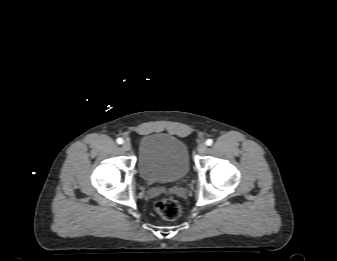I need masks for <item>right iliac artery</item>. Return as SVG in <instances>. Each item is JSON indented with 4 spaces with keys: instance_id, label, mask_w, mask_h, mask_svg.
Returning a JSON list of instances; mask_svg holds the SVG:
<instances>
[{
    "instance_id": "right-iliac-artery-1",
    "label": "right iliac artery",
    "mask_w": 337,
    "mask_h": 261,
    "mask_svg": "<svg viewBox=\"0 0 337 261\" xmlns=\"http://www.w3.org/2000/svg\"><path fill=\"white\" fill-rule=\"evenodd\" d=\"M116 141H117L118 144H122L123 143V139L122 138H118Z\"/></svg>"
}]
</instances>
